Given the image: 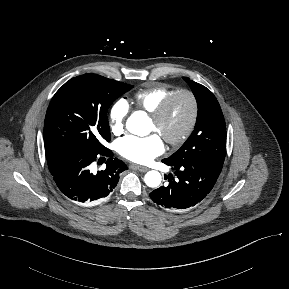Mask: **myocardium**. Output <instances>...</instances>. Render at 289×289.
<instances>
[{"mask_svg": "<svg viewBox=\"0 0 289 289\" xmlns=\"http://www.w3.org/2000/svg\"><path fill=\"white\" fill-rule=\"evenodd\" d=\"M182 95H185L190 99L191 105H192V113H191V117H190L188 125L179 136L175 138H167V137L164 138L165 142L172 147H177V146L182 145L192 136L193 132L196 129L198 119H199V111H200L199 101H198L197 96L195 95L193 91L189 89H178L175 92H173L171 95H169L160 104V106L154 112L150 114L151 119L156 124H160L167 116L175 100Z\"/></svg>", "mask_w": 289, "mask_h": 289, "instance_id": "obj_1", "label": "myocardium"}]
</instances>
